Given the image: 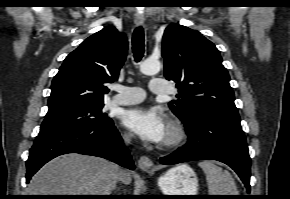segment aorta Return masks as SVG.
<instances>
[{
  "mask_svg": "<svg viewBox=\"0 0 290 199\" xmlns=\"http://www.w3.org/2000/svg\"><path fill=\"white\" fill-rule=\"evenodd\" d=\"M161 70V63L157 59H146L140 65L141 73L145 75H155Z\"/></svg>",
  "mask_w": 290,
  "mask_h": 199,
  "instance_id": "obj_1",
  "label": "aorta"
}]
</instances>
